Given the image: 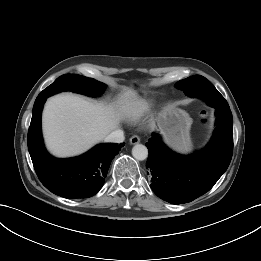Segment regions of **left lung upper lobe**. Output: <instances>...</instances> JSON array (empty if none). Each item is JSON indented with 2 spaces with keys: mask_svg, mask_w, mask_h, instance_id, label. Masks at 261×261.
<instances>
[{
  "mask_svg": "<svg viewBox=\"0 0 261 261\" xmlns=\"http://www.w3.org/2000/svg\"><path fill=\"white\" fill-rule=\"evenodd\" d=\"M207 79L201 75H194L184 80H181L175 84L177 89L183 90L184 93L189 92L192 88L199 85L201 82H205Z\"/></svg>",
  "mask_w": 261,
  "mask_h": 261,
  "instance_id": "obj_1",
  "label": "left lung upper lobe"
}]
</instances>
